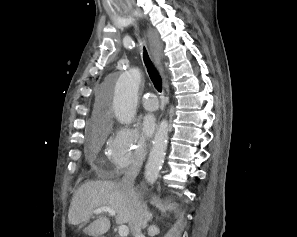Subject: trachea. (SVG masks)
I'll use <instances>...</instances> for the list:
<instances>
[{
    "label": "trachea",
    "mask_w": 297,
    "mask_h": 237,
    "mask_svg": "<svg viewBox=\"0 0 297 237\" xmlns=\"http://www.w3.org/2000/svg\"><path fill=\"white\" fill-rule=\"evenodd\" d=\"M143 59H144V63L146 65L147 68V72L149 74V77L154 85V87L161 92L162 91V79L161 76L158 72V70L156 69V67L154 66L153 62L151 61L146 48H143Z\"/></svg>",
    "instance_id": "obj_1"
}]
</instances>
